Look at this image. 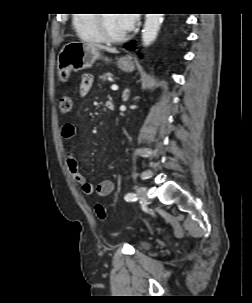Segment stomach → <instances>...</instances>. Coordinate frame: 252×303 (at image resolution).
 <instances>
[{
	"label": "stomach",
	"instance_id": "0dacf381",
	"mask_svg": "<svg viewBox=\"0 0 252 303\" xmlns=\"http://www.w3.org/2000/svg\"><path fill=\"white\" fill-rule=\"evenodd\" d=\"M101 57L98 48L82 41H70L60 50L57 60V74L61 82H66L71 70L91 67ZM106 61H109L107 58ZM118 67L125 72H132L135 65L130 57H121Z\"/></svg>",
	"mask_w": 252,
	"mask_h": 303
}]
</instances>
